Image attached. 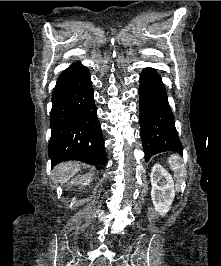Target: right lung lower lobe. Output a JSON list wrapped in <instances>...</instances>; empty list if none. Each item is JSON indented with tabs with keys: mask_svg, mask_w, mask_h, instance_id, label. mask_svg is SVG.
I'll return each instance as SVG.
<instances>
[{
	"mask_svg": "<svg viewBox=\"0 0 221 266\" xmlns=\"http://www.w3.org/2000/svg\"><path fill=\"white\" fill-rule=\"evenodd\" d=\"M93 94L90 73L79 62L59 76L50 115L52 134L48 153L52 165L67 160H80L98 168L106 165Z\"/></svg>",
	"mask_w": 221,
	"mask_h": 266,
	"instance_id": "98d812e1",
	"label": "right lung lower lobe"
}]
</instances>
